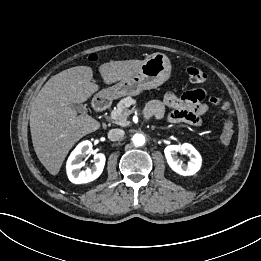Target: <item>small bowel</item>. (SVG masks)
I'll use <instances>...</instances> for the list:
<instances>
[{
    "instance_id": "1",
    "label": "small bowel",
    "mask_w": 261,
    "mask_h": 261,
    "mask_svg": "<svg viewBox=\"0 0 261 261\" xmlns=\"http://www.w3.org/2000/svg\"><path fill=\"white\" fill-rule=\"evenodd\" d=\"M205 92L195 89L185 92L181 97L167 94L163 102L151 101L147 105V113L161 118L164 115L165 106L173 111L170 119L174 122H184L193 126L202 124V117L207 112V106L203 103Z\"/></svg>"
}]
</instances>
